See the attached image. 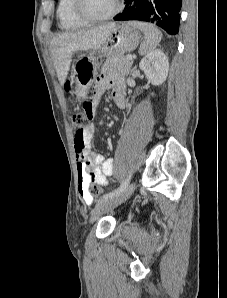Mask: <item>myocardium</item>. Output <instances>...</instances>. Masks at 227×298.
<instances>
[{
    "label": "myocardium",
    "instance_id": "myocardium-1",
    "mask_svg": "<svg viewBox=\"0 0 227 298\" xmlns=\"http://www.w3.org/2000/svg\"><path fill=\"white\" fill-rule=\"evenodd\" d=\"M123 8L122 0H117L115 8L105 16L96 17L91 15L87 9L85 0H74V9L79 18L88 23H101L114 18Z\"/></svg>",
    "mask_w": 227,
    "mask_h": 298
}]
</instances>
